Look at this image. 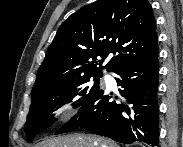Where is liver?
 I'll list each match as a JSON object with an SVG mask.
<instances>
[{
	"label": "liver",
	"mask_w": 183,
	"mask_h": 147,
	"mask_svg": "<svg viewBox=\"0 0 183 147\" xmlns=\"http://www.w3.org/2000/svg\"><path fill=\"white\" fill-rule=\"evenodd\" d=\"M35 147H118L111 140L84 134L45 139Z\"/></svg>",
	"instance_id": "liver-1"
}]
</instances>
